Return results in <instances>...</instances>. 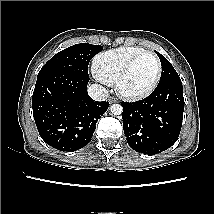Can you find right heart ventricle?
I'll return each instance as SVG.
<instances>
[{"instance_id": "1", "label": "right heart ventricle", "mask_w": 214, "mask_h": 214, "mask_svg": "<svg viewBox=\"0 0 214 214\" xmlns=\"http://www.w3.org/2000/svg\"><path fill=\"white\" fill-rule=\"evenodd\" d=\"M143 51L142 47L126 46L103 52L94 59L95 73L102 81L115 84L126 64Z\"/></svg>"}]
</instances>
